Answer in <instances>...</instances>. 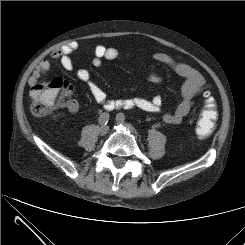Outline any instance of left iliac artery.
I'll return each instance as SVG.
<instances>
[{
    "mask_svg": "<svg viewBox=\"0 0 245 245\" xmlns=\"http://www.w3.org/2000/svg\"><path fill=\"white\" fill-rule=\"evenodd\" d=\"M117 116L119 117V118H121V119H125V115L123 114V113H119V114H117Z\"/></svg>",
    "mask_w": 245,
    "mask_h": 245,
    "instance_id": "left-iliac-artery-1",
    "label": "left iliac artery"
}]
</instances>
